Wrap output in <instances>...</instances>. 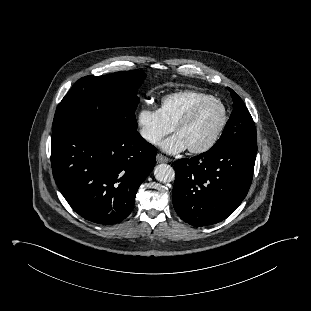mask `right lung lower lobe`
Masks as SVG:
<instances>
[{
	"label": "right lung lower lobe",
	"mask_w": 311,
	"mask_h": 311,
	"mask_svg": "<svg viewBox=\"0 0 311 311\" xmlns=\"http://www.w3.org/2000/svg\"><path fill=\"white\" fill-rule=\"evenodd\" d=\"M156 149L136 130L74 128L51 138L55 182L72 209L98 224L121 222L155 166Z\"/></svg>",
	"instance_id": "1"
}]
</instances>
